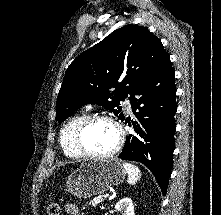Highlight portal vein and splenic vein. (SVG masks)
<instances>
[{"label":"portal vein and splenic vein","mask_w":221,"mask_h":215,"mask_svg":"<svg viewBox=\"0 0 221 215\" xmlns=\"http://www.w3.org/2000/svg\"><path fill=\"white\" fill-rule=\"evenodd\" d=\"M108 196H109V195H108V194H106V195H104V196H103V198H104V199H105V198H108Z\"/></svg>","instance_id":"18ae733b"}]
</instances>
